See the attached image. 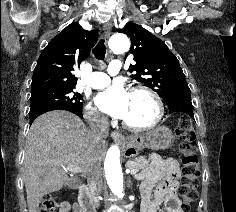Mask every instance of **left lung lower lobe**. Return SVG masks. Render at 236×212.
I'll use <instances>...</instances> for the list:
<instances>
[{
	"label": "left lung lower lobe",
	"mask_w": 236,
	"mask_h": 212,
	"mask_svg": "<svg viewBox=\"0 0 236 212\" xmlns=\"http://www.w3.org/2000/svg\"><path fill=\"white\" fill-rule=\"evenodd\" d=\"M166 103L169 108V113L184 112L194 119L193 105L191 102L190 91L176 93V94L172 95L166 101Z\"/></svg>",
	"instance_id": "left-lung-lower-lobe-1"
}]
</instances>
